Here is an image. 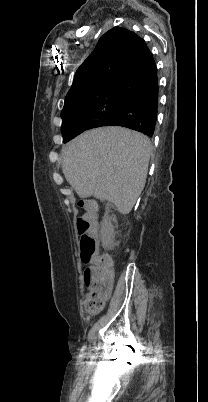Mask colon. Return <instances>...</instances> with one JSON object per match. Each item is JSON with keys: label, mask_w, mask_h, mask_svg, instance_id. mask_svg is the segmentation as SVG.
<instances>
[{"label": "colon", "mask_w": 208, "mask_h": 402, "mask_svg": "<svg viewBox=\"0 0 208 402\" xmlns=\"http://www.w3.org/2000/svg\"><path fill=\"white\" fill-rule=\"evenodd\" d=\"M79 239L81 242L79 255L82 264L87 265L84 280L89 283V290L84 300V307L89 308L91 314H96L98 308L105 307L107 295L112 294L111 279L114 274L113 259L111 256H100L99 243L102 235L99 232H88L92 227L91 216L86 214L77 220Z\"/></svg>", "instance_id": "1"}]
</instances>
